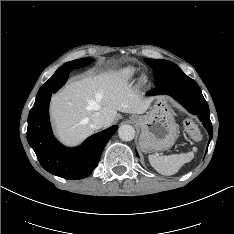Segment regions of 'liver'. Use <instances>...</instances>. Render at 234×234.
Returning a JSON list of instances; mask_svg holds the SVG:
<instances>
[{
  "instance_id": "6515ba94",
  "label": "liver",
  "mask_w": 234,
  "mask_h": 234,
  "mask_svg": "<svg viewBox=\"0 0 234 234\" xmlns=\"http://www.w3.org/2000/svg\"><path fill=\"white\" fill-rule=\"evenodd\" d=\"M151 102L128 84L122 72L110 71L66 85L52 97L50 112L60 140L76 145L94 132L90 126L94 113L104 116V127H109L117 111L142 114Z\"/></svg>"
}]
</instances>
